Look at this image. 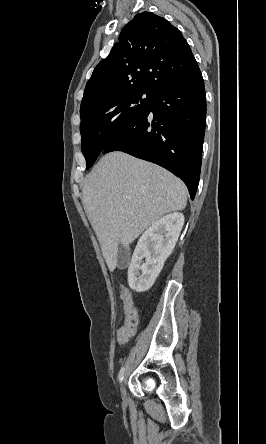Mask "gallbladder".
<instances>
[{"label": "gallbladder", "mask_w": 266, "mask_h": 444, "mask_svg": "<svg viewBox=\"0 0 266 444\" xmlns=\"http://www.w3.org/2000/svg\"><path fill=\"white\" fill-rule=\"evenodd\" d=\"M128 261V247H124L121 244L118 247V264L119 268H123Z\"/></svg>", "instance_id": "obj_1"}]
</instances>
